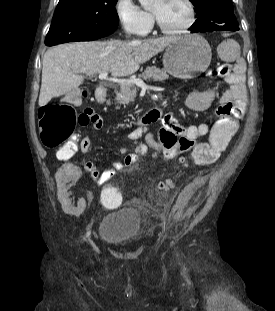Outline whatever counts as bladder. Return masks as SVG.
Listing matches in <instances>:
<instances>
[{"label": "bladder", "instance_id": "31cf9c89", "mask_svg": "<svg viewBox=\"0 0 275 311\" xmlns=\"http://www.w3.org/2000/svg\"><path fill=\"white\" fill-rule=\"evenodd\" d=\"M141 230V215L138 211L118 209L101 219L98 237L116 246H127L138 239Z\"/></svg>", "mask_w": 275, "mask_h": 311}]
</instances>
